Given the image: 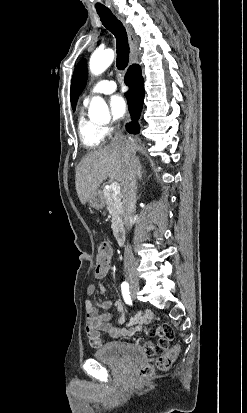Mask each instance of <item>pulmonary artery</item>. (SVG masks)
<instances>
[{"label": "pulmonary artery", "mask_w": 247, "mask_h": 413, "mask_svg": "<svg viewBox=\"0 0 247 413\" xmlns=\"http://www.w3.org/2000/svg\"><path fill=\"white\" fill-rule=\"evenodd\" d=\"M117 88V84L112 79H100L95 82L90 88L88 96L85 98L86 101L89 100L91 95L94 94H110L114 92Z\"/></svg>", "instance_id": "1"}]
</instances>
